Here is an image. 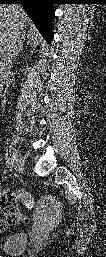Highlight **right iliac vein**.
I'll return each mask as SVG.
<instances>
[{
  "label": "right iliac vein",
  "mask_w": 106,
  "mask_h": 257,
  "mask_svg": "<svg viewBox=\"0 0 106 257\" xmlns=\"http://www.w3.org/2000/svg\"><path fill=\"white\" fill-rule=\"evenodd\" d=\"M13 163L15 169L19 173H23L24 170V158L18 148H13Z\"/></svg>",
  "instance_id": "right-iliac-vein-1"
}]
</instances>
